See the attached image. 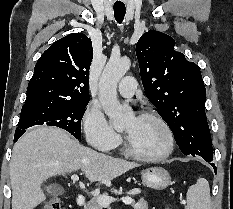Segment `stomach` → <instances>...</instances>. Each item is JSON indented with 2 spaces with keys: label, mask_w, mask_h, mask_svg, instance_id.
I'll return each instance as SVG.
<instances>
[{
  "label": "stomach",
  "mask_w": 233,
  "mask_h": 209,
  "mask_svg": "<svg viewBox=\"0 0 233 209\" xmlns=\"http://www.w3.org/2000/svg\"><path fill=\"white\" fill-rule=\"evenodd\" d=\"M142 183L154 190H162L171 183L169 172L162 167H150L141 172Z\"/></svg>",
  "instance_id": "obj_1"
}]
</instances>
